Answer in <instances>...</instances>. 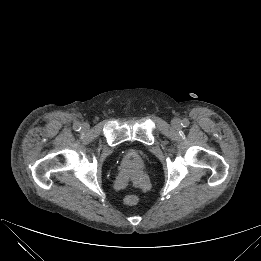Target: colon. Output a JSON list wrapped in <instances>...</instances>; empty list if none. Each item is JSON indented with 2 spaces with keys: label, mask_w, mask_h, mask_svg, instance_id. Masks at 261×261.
Segmentation results:
<instances>
[{
  "label": "colon",
  "mask_w": 261,
  "mask_h": 261,
  "mask_svg": "<svg viewBox=\"0 0 261 261\" xmlns=\"http://www.w3.org/2000/svg\"><path fill=\"white\" fill-rule=\"evenodd\" d=\"M138 200H139V198L136 194H128L124 198V204L128 205V206H133L138 203Z\"/></svg>",
  "instance_id": "obj_1"
}]
</instances>
